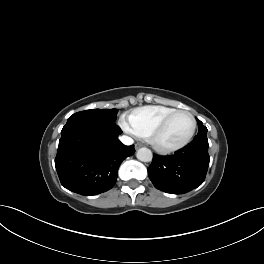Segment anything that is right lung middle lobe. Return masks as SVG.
<instances>
[{
    "label": "right lung middle lobe",
    "mask_w": 264,
    "mask_h": 264,
    "mask_svg": "<svg viewBox=\"0 0 264 264\" xmlns=\"http://www.w3.org/2000/svg\"><path fill=\"white\" fill-rule=\"evenodd\" d=\"M117 109H91L81 111L69 117L68 121L91 120L103 124H115Z\"/></svg>",
    "instance_id": "dd1d6c3e"
}]
</instances>
